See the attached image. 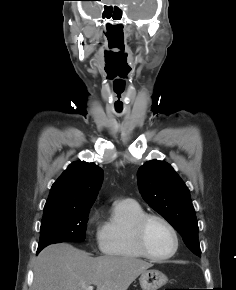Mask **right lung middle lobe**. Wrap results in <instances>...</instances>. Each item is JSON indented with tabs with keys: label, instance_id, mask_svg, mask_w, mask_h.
I'll use <instances>...</instances> for the list:
<instances>
[{
	"label": "right lung middle lobe",
	"instance_id": "obj_1",
	"mask_svg": "<svg viewBox=\"0 0 236 290\" xmlns=\"http://www.w3.org/2000/svg\"><path fill=\"white\" fill-rule=\"evenodd\" d=\"M88 215L89 210L44 212L37 253L52 243L83 241Z\"/></svg>",
	"mask_w": 236,
	"mask_h": 290
}]
</instances>
